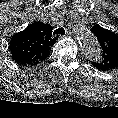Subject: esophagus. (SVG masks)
<instances>
[{
	"label": "esophagus",
	"instance_id": "34e87169",
	"mask_svg": "<svg viewBox=\"0 0 118 118\" xmlns=\"http://www.w3.org/2000/svg\"><path fill=\"white\" fill-rule=\"evenodd\" d=\"M72 36V33L71 32H68V33H66V35L65 36H59L60 38H63V37H71Z\"/></svg>",
	"mask_w": 118,
	"mask_h": 118
}]
</instances>
